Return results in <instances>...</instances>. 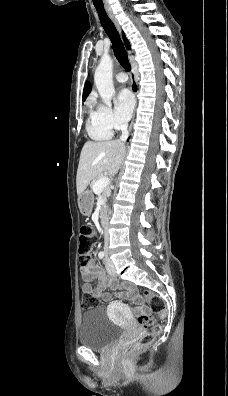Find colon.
<instances>
[{
    "mask_svg": "<svg viewBox=\"0 0 228 396\" xmlns=\"http://www.w3.org/2000/svg\"><path fill=\"white\" fill-rule=\"evenodd\" d=\"M88 227L82 226L79 234V254L80 263L82 267L88 266L93 260L88 244ZM148 304L151 311L155 314H164L166 310L163 299L156 293L146 290L141 296ZM99 304L96 297L91 294H84L82 297V307L84 309H92L97 307ZM139 323L144 329V333L141 334L129 347L126 349V353L137 352L153 343L155 338L161 331V326L157 322V319L153 315L143 314L139 318Z\"/></svg>",
    "mask_w": 228,
    "mask_h": 396,
    "instance_id": "obj_1",
    "label": "colon"
}]
</instances>
